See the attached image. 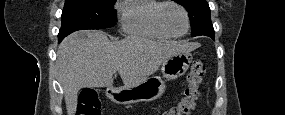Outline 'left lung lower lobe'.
Masks as SVG:
<instances>
[{"label":"left lung lower lobe","mask_w":285,"mask_h":115,"mask_svg":"<svg viewBox=\"0 0 285 115\" xmlns=\"http://www.w3.org/2000/svg\"><path fill=\"white\" fill-rule=\"evenodd\" d=\"M210 37L214 40V35H211Z\"/></svg>","instance_id":"0a47b994"}]
</instances>
